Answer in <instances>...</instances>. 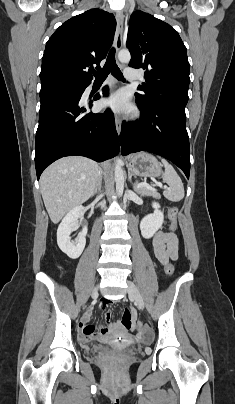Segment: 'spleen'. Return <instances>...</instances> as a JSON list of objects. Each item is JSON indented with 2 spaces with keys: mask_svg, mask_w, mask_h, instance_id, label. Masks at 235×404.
<instances>
[{
  "mask_svg": "<svg viewBox=\"0 0 235 404\" xmlns=\"http://www.w3.org/2000/svg\"><path fill=\"white\" fill-rule=\"evenodd\" d=\"M165 167L163 181L169 185V190L164 191V196L172 201L178 202L184 198V186L175 169L165 160L161 159Z\"/></svg>",
  "mask_w": 235,
  "mask_h": 404,
  "instance_id": "spleen-1",
  "label": "spleen"
}]
</instances>
